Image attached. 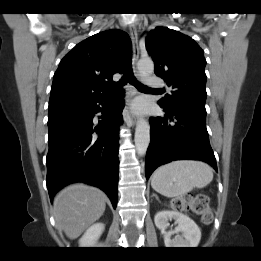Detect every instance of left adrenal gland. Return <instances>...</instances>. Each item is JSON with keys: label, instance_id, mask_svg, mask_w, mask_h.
<instances>
[{"label": "left adrenal gland", "instance_id": "a2214340", "mask_svg": "<svg viewBox=\"0 0 261 261\" xmlns=\"http://www.w3.org/2000/svg\"><path fill=\"white\" fill-rule=\"evenodd\" d=\"M152 196H154L156 198V200L160 202V200L156 194L153 193Z\"/></svg>", "mask_w": 261, "mask_h": 261}]
</instances>
